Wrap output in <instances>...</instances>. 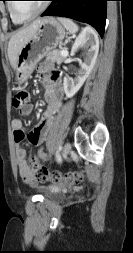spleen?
<instances>
[{
  "instance_id": "spleen-1",
  "label": "spleen",
  "mask_w": 133,
  "mask_h": 253,
  "mask_svg": "<svg viewBox=\"0 0 133 253\" xmlns=\"http://www.w3.org/2000/svg\"><path fill=\"white\" fill-rule=\"evenodd\" d=\"M58 20L71 34H75L78 31V26L70 19L59 17Z\"/></svg>"
}]
</instances>
